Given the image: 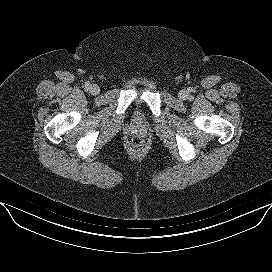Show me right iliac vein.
I'll return each mask as SVG.
<instances>
[{
  "instance_id": "63e3f726",
  "label": "right iliac vein",
  "mask_w": 272,
  "mask_h": 272,
  "mask_svg": "<svg viewBox=\"0 0 272 272\" xmlns=\"http://www.w3.org/2000/svg\"><path fill=\"white\" fill-rule=\"evenodd\" d=\"M89 91L92 95H97L100 92V88L98 85L93 84L90 86Z\"/></svg>"
}]
</instances>
